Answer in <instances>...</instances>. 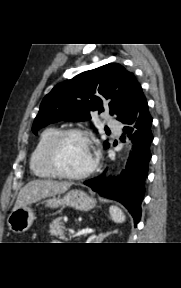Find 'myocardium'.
Here are the masks:
<instances>
[{
  "label": "myocardium",
  "mask_w": 181,
  "mask_h": 288,
  "mask_svg": "<svg viewBox=\"0 0 181 288\" xmlns=\"http://www.w3.org/2000/svg\"><path fill=\"white\" fill-rule=\"evenodd\" d=\"M69 136H77V137L82 138L88 144L90 148L91 155H92V163L83 172H79V173L68 172L67 170L63 168V166L61 165L59 161L60 145L63 142V140ZM46 159H47V163L49 167L55 174H57L59 177L73 179V180H79V179L88 177L90 174H92L96 170L98 166V157L93 151V142H92L91 135L87 131L78 129V128H68V129L58 131L48 146Z\"/></svg>",
  "instance_id": "1"
}]
</instances>
